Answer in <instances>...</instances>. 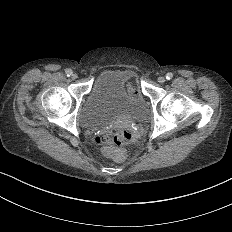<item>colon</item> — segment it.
<instances>
[{
	"instance_id": "colon-1",
	"label": "colon",
	"mask_w": 232,
	"mask_h": 232,
	"mask_svg": "<svg viewBox=\"0 0 232 232\" xmlns=\"http://www.w3.org/2000/svg\"><path fill=\"white\" fill-rule=\"evenodd\" d=\"M138 136L139 128L132 121L113 122L109 129H102L96 134V141L100 145L121 147Z\"/></svg>"
}]
</instances>
